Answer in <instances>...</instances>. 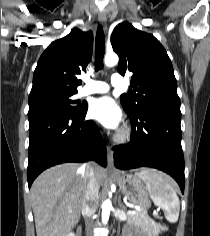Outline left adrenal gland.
Returning <instances> with one entry per match:
<instances>
[{
    "label": "left adrenal gland",
    "instance_id": "a2214340",
    "mask_svg": "<svg viewBox=\"0 0 210 236\" xmlns=\"http://www.w3.org/2000/svg\"><path fill=\"white\" fill-rule=\"evenodd\" d=\"M118 204H119V206L120 207H122V208H126L125 206H124V204L121 202V198L119 197V200H118Z\"/></svg>",
    "mask_w": 210,
    "mask_h": 236
}]
</instances>
